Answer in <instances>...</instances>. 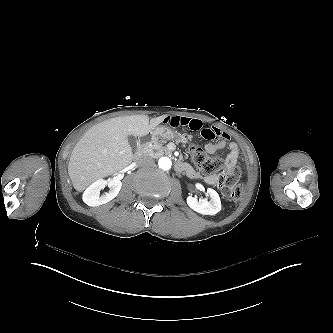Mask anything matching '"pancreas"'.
<instances>
[{
  "label": "pancreas",
  "instance_id": "obj_1",
  "mask_svg": "<svg viewBox=\"0 0 333 333\" xmlns=\"http://www.w3.org/2000/svg\"><path fill=\"white\" fill-rule=\"evenodd\" d=\"M165 140H155L152 142V144L147 147L146 151L144 152V155L151 156L153 158H159L165 154H170L171 151L168 149V147L165 145Z\"/></svg>",
  "mask_w": 333,
  "mask_h": 333
}]
</instances>
